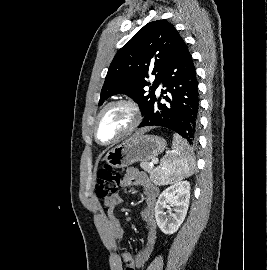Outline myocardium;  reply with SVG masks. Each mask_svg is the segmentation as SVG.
Returning <instances> with one entry per match:
<instances>
[{"label":"myocardium","instance_id":"obj_1","mask_svg":"<svg viewBox=\"0 0 267 270\" xmlns=\"http://www.w3.org/2000/svg\"><path fill=\"white\" fill-rule=\"evenodd\" d=\"M116 105L127 106L133 114V121H132L131 125L125 131H123L120 135H118L116 138H114L108 142H103L100 140L99 135H98L99 120H100L101 116L103 115V113L107 109H109L113 106H116ZM141 120H142V113H141V109H140L139 105L137 104V102H135L132 99H128V98H120V99L113 100V101L107 103L105 106H103L102 109L97 114L96 119H95V123H94V128H93L94 138L101 145L115 144L118 141H120L121 139H123L124 137H126L127 135L131 134L139 126V124L141 123Z\"/></svg>","mask_w":267,"mask_h":270}]
</instances>
